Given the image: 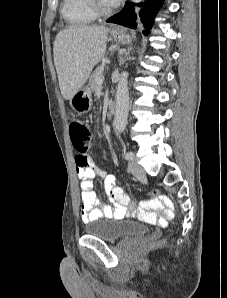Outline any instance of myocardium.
<instances>
[{
	"instance_id": "f54148a6",
	"label": "myocardium",
	"mask_w": 227,
	"mask_h": 298,
	"mask_svg": "<svg viewBox=\"0 0 227 298\" xmlns=\"http://www.w3.org/2000/svg\"><path fill=\"white\" fill-rule=\"evenodd\" d=\"M91 8L97 16H106L112 12V9L103 6L99 0H90Z\"/></svg>"
}]
</instances>
